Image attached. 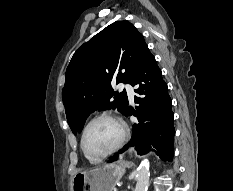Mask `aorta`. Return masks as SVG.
Instances as JSON below:
<instances>
[{"instance_id":"762f6f07","label":"aorta","mask_w":233,"mask_h":191,"mask_svg":"<svg viewBox=\"0 0 233 191\" xmlns=\"http://www.w3.org/2000/svg\"><path fill=\"white\" fill-rule=\"evenodd\" d=\"M149 161L143 159L137 169V183L134 191H147L149 185Z\"/></svg>"}]
</instances>
